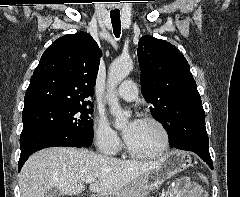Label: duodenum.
Instances as JSON below:
<instances>
[{"label": "duodenum", "mask_w": 240, "mask_h": 197, "mask_svg": "<svg viewBox=\"0 0 240 197\" xmlns=\"http://www.w3.org/2000/svg\"><path fill=\"white\" fill-rule=\"evenodd\" d=\"M91 197H115L113 195L91 196Z\"/></svg>", "instance_id": "1"}]
</instances>
